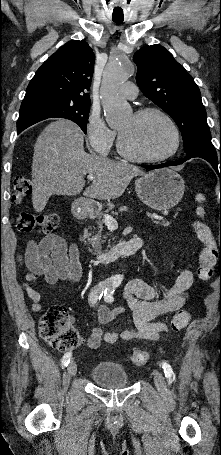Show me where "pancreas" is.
Wrapping results in <instances>:
<instances>
[{"mask_svg": "<svg viewBox=\"0 0 221 455\" xmlns=\"http://www.w3.org/2000/svg\"><path fill=\"white\" fill-rule=\"evenodd\" d=\"M109 212V210H106L105 213ZM112 214H116V212L112 211L111 212ZM106 214H100L97 218H98V222H97V225H98V232L97 234H95L92 239H91V244L94 248V251L95 253H101L102 251V243H103V240H102V230H103V225L105 223L104 221V216ZM155 224L157 225H163V226H168L169 225V222L167 221H155Z\"/></svg>", "mask_w": 221, "mask_h": 455, "instance_id": "1", "label": "pancreas"}]
</instances>
